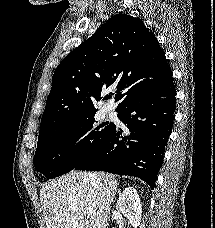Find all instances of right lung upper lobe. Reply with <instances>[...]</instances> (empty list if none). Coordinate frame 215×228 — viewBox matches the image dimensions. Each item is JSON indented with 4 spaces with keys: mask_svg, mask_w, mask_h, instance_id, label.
<instances>
[{
    "mask_svg": "<svg viewBox=\"0 0 215 228\" xmlns=\"http://www.w3.org/2000/svg\"><path fill=\"white\" fill-rule=\"evenodd\" d=\"M171 75L157 38L145 25L126 14L114 15L55 70L40 128L95 114L94 102L110 85L116 86L117 111L139 84Z\"/></svg>",
    "mask_w": 215,
    "mask_h": 228,
    "instance_id": "right-lung-upper-lobe-1",
    "label": "right lung upper lobe"
}]
</instances>
